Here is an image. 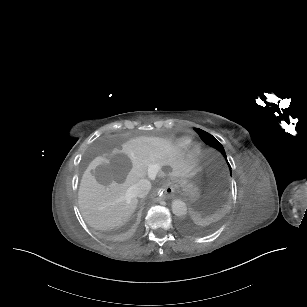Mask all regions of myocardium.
<instances>
[{"instance_id": "obj_1", "label": "myocardium", "mask_w": 307, "mask_h": 307, "mask_svg": "<svg viewBox=\"0 0 307 307\" xmlns=\"http://www.w3.org/2000/svg\"><path fill=\"white\" fill-rule=\"evenodd\" d=\"M203 146L201 143L194 142L188 149V158L192 161L198 160L203 154Z\"/></svg>"}]
</instances>
